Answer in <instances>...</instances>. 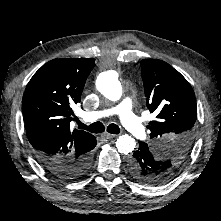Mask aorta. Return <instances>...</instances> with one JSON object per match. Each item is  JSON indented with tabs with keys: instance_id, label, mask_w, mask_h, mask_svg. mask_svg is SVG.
<instances>
[{
	"instance_id": "aorta-1",
	"label": "aorta",
	"mask_w": 221,
	"mask_h": 221,
	"mask_svg": "<svg viewBox=\"0 0 221 221\" xmlns=\"http://www.w3.org/2000/svg\"><path fill=\"white\" fill-rule=\"evenodd\" d=\"M96 87L110 101H118L122 96V86L115 71L101 73L96 80ZM135 146V139L127 134L116 141V148L122 154L131 153Z\"/></svg>"
}]
</instances>
